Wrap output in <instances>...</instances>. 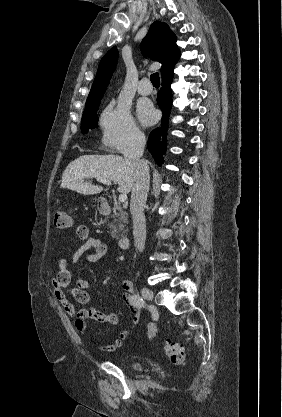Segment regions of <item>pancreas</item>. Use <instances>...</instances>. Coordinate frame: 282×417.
<instances>
[{"label":"pancreas","mask_w":282,"mask_h":417,"mask_svg":"<svg viewBox=\"0 0 282 417\" xmlns=\"http://www.w3.org/2000/svg\"><path fill=\"white\" fill-rule=\"evenodd\" d=\"M114 211H119V213H115V215H107L103 223H108V229L111 231V237H113V239H119L121 229H124L128 217L127 213L123 211L121 204H114ZM109 219H113V221H109Z\"/></svg>","instance_id":"1"}]
</instances>
